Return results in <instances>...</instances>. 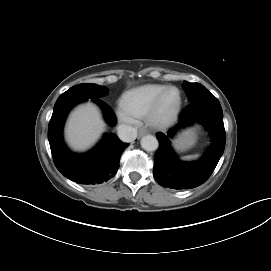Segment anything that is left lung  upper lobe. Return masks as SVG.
<instances>
[{"label": "left lung upper lobe", "instance_id": "obj_1", "mask_svg": "<svg viewBox=\"0 0 271 271\" xmlns=\"http://www.w3.org/2000/svg\"><path fill=\"white\" fill-rule=\"evenodd\" d=\"M183 89L186 92L190 103L204 97L212 96L209 90L199 83L185 82Z\"/></svg>", "mask_w": 271, "mask_h": 271}]
</instances>
